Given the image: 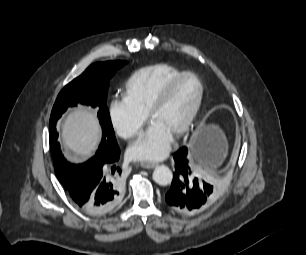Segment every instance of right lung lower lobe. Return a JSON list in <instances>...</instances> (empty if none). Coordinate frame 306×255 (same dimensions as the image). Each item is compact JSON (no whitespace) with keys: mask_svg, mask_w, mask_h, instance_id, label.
<instances>
[{"mask_svg":"<svg viewBox=\"0 0 306 255\" xmlns=\"http://www.w3.org/2000/svg\"><path fill=\"white\" fill-rule=\"evenodd\" d=\"M119 156L120 150L115 143L100 146L96 155L83 164L66 161L60 182L86 212L103 215L119 204L123 189L119 177L121 170L116 166Z\"/></svg>","mask_w":306,"mask_h":255,"instance_id":"1","label":"right lung lower lobe"}]
</instances>
